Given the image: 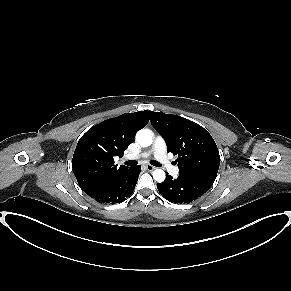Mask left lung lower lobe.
Returning <instances> with one entry per match:
<instances>
[{"label": "left lung lower lobe", "instance_id": "obj_1", "mask_svg": "<svg viewBox=\"0 0 291 291\" xmlns=\"http://www.w3.org/2000/svg\"><path fill=\"white\" fill-rule=\"evenodd\" d=\"M213 183L214 180L202 177L179 174L178 178L173 179L167 175L164 182L157 184V189L172 203H190L207 192Z\"/></svg>", "mask_w": 291, "mask_h": 291}]
</instances>
